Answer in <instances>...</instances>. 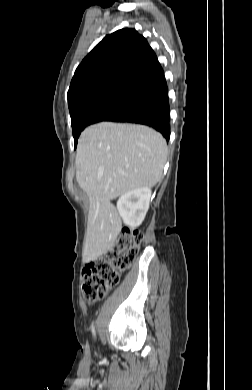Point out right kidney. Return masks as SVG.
Segmentation results:
<instances>
[{"mask_svg": "<svg viewBox=\"0 0 252 390\" xmlns=\"http://www.w3.org/2000/svg\"><path fill=\"white\" fill-rule=\"evenodd\" d=\"M151 189L141 187L123 194L117 201V210L124 223L138 227L144 220L149 209Z\"/></svg>", "mask_w": 252, "mask_h": 390, "instance_id": "ca27d5eb", "label": "right kidney"}]
</instances>
